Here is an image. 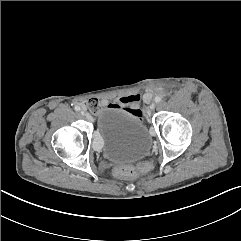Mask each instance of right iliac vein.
Here are the masks:
<instances>
[{
  "label": "right iliac vein",
  "mask_w": 241,
  "mask_h": 241,
  "mask_svg": "<svg viewBox=\"0 0 241 241\" xmlns=\"http://www.w3.org/2000/svg\"><path fill=\"white\" fill-rule=\"evenodd\" d=\"M81 114L84 115V116H86V117H88V113H86V112L83 111V110L81 111Z\"/></svg>",
  "instance_id": "63e3f726"
}]
</instances>
